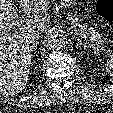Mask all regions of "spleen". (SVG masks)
<instances>
[{
	"label": "spleen",
	"instance_id": "1",
	"mask_svg": "<svg viewBox=\"0 0 113 113\" xmlns=\"http://www.w3.org/2000/svg\"><path fill=\"white\" fill-rule=\"evenodd\" d=\"M105 69L106 72L113 77V53L110 55V59L105 63Z\"/></svg>",
	"mask_w": 113,
	"mask_h": 113
}]
</instances>
